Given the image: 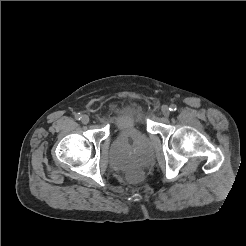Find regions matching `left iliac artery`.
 Wrapping results in <instances>:
<instances>
[{
    "label": "left iliac artery",
    "mask_w": 246,
    "mask_h": 246,
    "mask_svg": "<svg viewBox=\"0 0 246 246\" xmlns=\"http://www.w3.org/2000/svg\"><path fill=\"white\" fill-rule=\"evenodd\" d=\"M169 109L170 111L174 112L177 110V106L175 104H171Z\"/></svg>",
    "instance_id": "44dca946"
}]
</instances>
